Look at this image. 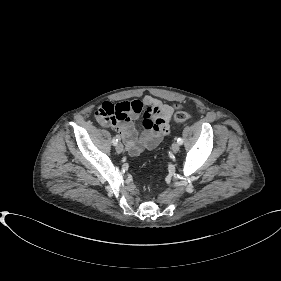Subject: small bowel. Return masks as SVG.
Returning a JSON list of instances; mask_svg holds the SVG:
<instances>
[{
	"label": "small bowel",
	"instance_id": "obj_1",
	"mask_svg": "<svg viewBox=\"0 0 281 281\" xmlns=\"http://www.w3.org/2000/svg\"><path fill=\"white\" fill-rule=\"evenodd\" d=\"M135 102L140 105L137 111L132 110ZM127 103L130 106V112L126 118L116 122L103 120L101 122L111 125L123 140L127 151L131 155L137 156L145 149L155 148L170 133V122L174 107L151 96H145L142 101ZM143 106L146 107L144 111ZM142 111V127L138 130L134 125V119Z\"/></svg>",
	"mask_w": 281,
	"mask_h": 281
}]
</instances>
